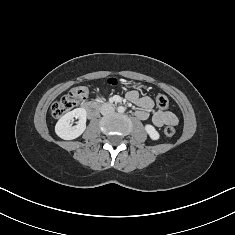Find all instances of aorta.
<instances>
[{
  "mask_svg": "<svg viewBox=\"0 0 235 235\" xmlns=\"http://www.w3.org/2000/svg\"><path fill=\"white\" fill-rule=\"evenodd\" d=\"M125 111V108L123 106L118 107V112L123 113Z\"/></svg>",
  "mask_w": 235,
  "mask_h": 235,
  "instance_id": "1",
  "label": "aorta"
}]
</instances>
